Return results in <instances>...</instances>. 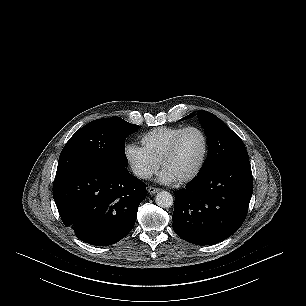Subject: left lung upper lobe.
<instances>
[{"instance_id": "1", "label": "left lung upper lobe", "mask_w": 306, "mask_h": 306, "mask_svg": "<svg viewBox=\"0 0 306 306\" xmlns=\"http://www.w3.org/2000/svg\"><path fill=\"white\" fill-rule=\"evenodd\" d=\"M192 114L184 117L188 119ZM199 121L208 141V155L199 173L215 166L234 161L248 160V153L241 138L217 116L208 111H198Z\"/></svg>"}]
</instances>
